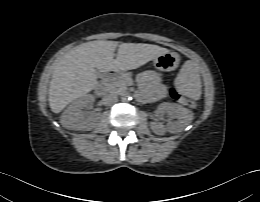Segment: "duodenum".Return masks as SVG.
Returning <instances> with one entry per match:
<instances>
[{
	"instance_id": "1",
	"label": "duodenum",
	"mask_w": 260,
	"mask_h": 202,
	"mask_svg": "<svg viewBox=\"0 0 260 202\" xmlns=\"http://www.w3.org/2000/svg\"><path fill=\"white\" fill-rule=\"evenodd\" d=\"M121 73V71L117 68H112L109 71L106 72L105 76H104V80L105 81H109L111 79H113L114 77L118 76ZM97 90H102L101 85H97L96 86Z\"/></svg>"
}]
</instances>
